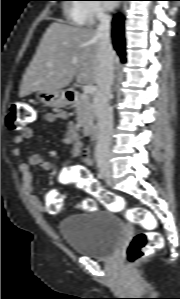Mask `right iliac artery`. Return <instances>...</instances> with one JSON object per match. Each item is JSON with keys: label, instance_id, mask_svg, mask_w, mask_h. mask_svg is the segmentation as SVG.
<instances>
[{"label": "right iliac artery", "instance_id": "1", "mask_svg": "<svg viewBox=\"0 0 180 299\" xmlns=\"http://www.w3.org/2000/svg\"><path fill=\"white\" fill-rule=\"evenodd\" d=\"M104 177H105V174H104V173L100 172V173L98 174V178H99V179H104Z\"/></svg>", "mask_w": 180, "mask_h": 299}]
</instances>
